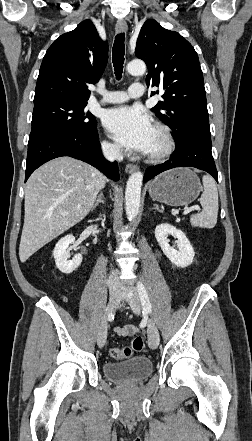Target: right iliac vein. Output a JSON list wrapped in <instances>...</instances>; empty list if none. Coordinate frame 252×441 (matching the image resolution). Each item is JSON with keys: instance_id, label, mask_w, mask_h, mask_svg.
Returning <instances> with one entry per match:
<instances>
[{"instance_id": "63e3f726", "label": "right iliac vein", "mask_w": 252, "mask_h": 441, "mask_svg": "<svg viewBox=\"0 0 252 441\" xmlns=\"http://www.w3.org/2000/svg\"><path fill=\"white\" fill-rule=\"evenodd\" d=\"M123 292L117 289H111L109 293V304L105 310L103 319L101 321L99 330H98V336H97V343L99 348H102L105 345L106 338H107V316L108 314L113 310V308L116 306V304L122 299Z\"/></svg>"}]
</instances>
